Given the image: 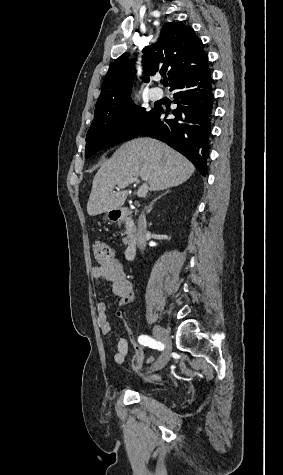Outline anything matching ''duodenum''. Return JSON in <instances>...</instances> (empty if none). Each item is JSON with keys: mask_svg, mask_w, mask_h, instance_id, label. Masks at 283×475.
Here are the masks:
<instances>
[{"mask_svg": "<svg viewBox=\"0 0 283 475\" xmlns=\"http://www.w3.org/2000/svg\"><path fill=\"white\" fill-rule=\"evenodd\" d=\"M111 219L115 222H124L126 226L130 229L131 237L125 248L124 255L127 260L134 259L138 248V239L136 236V229L132 211L128 208H121L115 210L111 214Z\"/></svg>", "mask_w": 283, "mask_h": 475, "instance_id": "obj_1", "label": "duodenum"}]
</instances>
